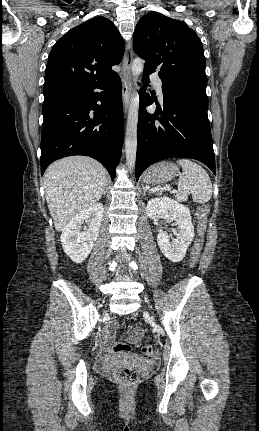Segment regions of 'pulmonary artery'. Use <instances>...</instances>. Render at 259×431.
Instances as JSON below:
<instances>
[{"instance_id": "e3ab8cb5", "label": "pulmonary artery", "mask_w": 259, "mask_h": 431, "mask_svg": "<svg viewBox=\"0 0 259 431\" xmlns=\"http://www.w3.org/2000/svg\"><path fill=\"white\" fill-rule=\"evenodd\" d=\"M151 80H152V82L156 86V89H157L159 97L162 98L163 97V92H162V82H161V79L158 76L153 75V76H151Z\"/></svg>"}]
</instances>
